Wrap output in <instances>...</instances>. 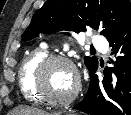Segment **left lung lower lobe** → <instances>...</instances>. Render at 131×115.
<instances>
[{
  "label": "left lung lower lobe",
  "instance_id": "left-lung-lower-lobe-1",
  "mask_svg": "<svg viewBox=\"0 0 131 115\" xmlns=\"http://www.w3.org/2000/svg\"><path fill=\"white\" fill-rule=\"evenodd\" d=\"M113 67H106L100 82L95 74L98 66L90 72L89 89L81 102L73 109L89 115H131V20L108 39Z\"/></svg>",
  "mask_w": 131,
  "mask_h": 115
}]
</instances>
